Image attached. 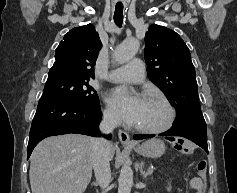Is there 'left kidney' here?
Returning <instances> with one entry per match:
<instances>
[{"label":"left kidney","instance_id":"1","mask_svg":"<svg viewBox=\"0 0 237 193\" xmlns=\"http://www.w3.org/2000/svg\"><path fill=\"white\" fill-rule=\"evenodd\" d=\"M170 189H171L170 187L167 188V190H170Z\"/></svg>","mask_w":237,"mask_h":193}]
</instances>
